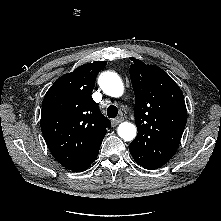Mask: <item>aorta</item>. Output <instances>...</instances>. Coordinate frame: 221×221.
Instances as JSON below:
<instances>
[{"instance_id": "1", "label": "aorta", "mask_w": 221, "mask_h": 221, "mask_svg": "<svg viewBox=\"0 0 221 221\" xmlns=\"http://www.w3.org/2000/svg\"><path fill=\"white\" fill-rule=\"evenodd\" d=\"M98 84L102 91L111 97H120L124 91L121 78L114 72L106 71L101 73ZM118 135L125 141H132L137 134L135 125L123 122L118 126Z\"/></svg>"}]
</instances>
